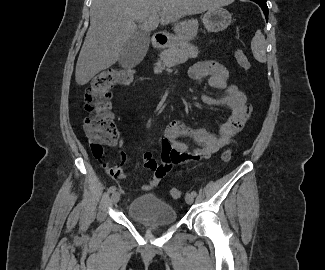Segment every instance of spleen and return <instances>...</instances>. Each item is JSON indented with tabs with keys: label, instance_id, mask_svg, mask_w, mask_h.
Listing matches in <instances>:
<instances>
[{
	"label": "spleen",
	"instance_id": "3e777b00",
	"mask_svg": "<svg viewBox=\"0 0 325 270\" xmlns=\"http://www.w3.org/2000/svg\"><path fill=\"white\" fill-rule=\"evenodd\" d=\"M266 46L267 44L264 35L260 30H257L251 41V49L255 59L261 63L267 61Z\"/></svg>",
	"mask_w": 325,
	"mask_h": 270
}]
</instances>
